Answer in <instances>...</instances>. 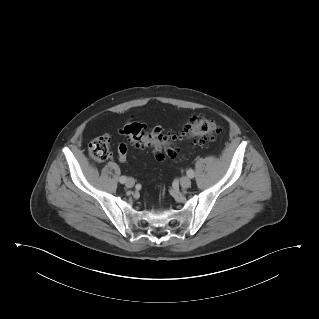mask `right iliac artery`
Segmentation results:
<instances>
[{
    "instance_id": "82829eb1",
    "label": "right iliac artery",
    "mask_w": 319,
    "mask_h": 319,
    "mask_svg": "<svg viewBox=\"0 0 319 319\" xmlns=\"http://www.w3.org/2000/svg\"><path fill=\"white\" fill-rule=\"evenodd\" d=\"M119 181H120V183L124 184L127 181V177L126 176H121Z\"/></svg>"
}]
</instances>
